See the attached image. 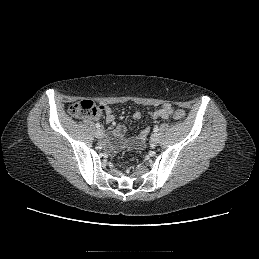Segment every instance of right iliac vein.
Listing matches in <instances>:
<instances>
[{"mask_svg": "<svg viewBox=\"0 0 259 259\" xmlns=\"http://www.w3.org/2000/svg\"><path fill=\"white\" fill-rule=\"evenodd\" d=\"M95 137L98 138V139H101L103 137V131L102 129H97L95 131Z\"/></svg>", "mask_w": 259, "mask_h": 259, "instance_id": "obj_1", "label": "right iliac vein"}]
</instances>
